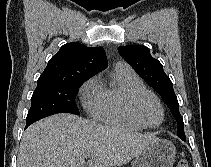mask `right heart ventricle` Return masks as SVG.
Returning a JSON list of instances; mask_svg holds the SVG:
<instances>
[{
    "label": "right heart ventricle",
    "instance_id": "1",
    "mask_svg": "<svg viewBox=\"0 0 211 167\" xmlns=\"http://www.w3.org/2000/svg\"><path fill=\"white\" fill-rule=\"evenodd\" d=\"M98 105L93 117L107 125L138 131L143 127L132 119L126 109L128 94L144 87L139 76L127 66H116L109 85L100 84Z\"/></svg>",
    "mask_w": 211,
    "mask_h": 167
}]
</instances>
